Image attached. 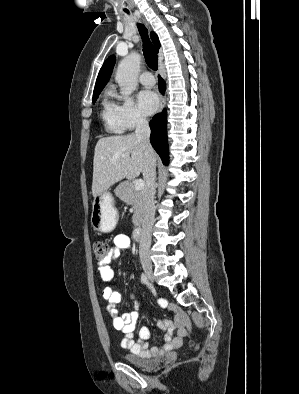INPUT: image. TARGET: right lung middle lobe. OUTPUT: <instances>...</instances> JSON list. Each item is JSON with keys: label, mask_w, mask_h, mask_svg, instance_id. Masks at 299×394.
Returning <instances> with one entry per match:
<instances>
[{"label": "right lung middle lobe", "mask_w": 299, "mask_h": 394, "mask_svg": "<svg viewBox=\"0 0 299 394\" xmlns=\"http://www.w3.org/2000/svg\"><path fill=\"white\" fill-rule=\"evenodd\" d=\"M98 96H99V93L96 94V95H93V103H95V101L97 100Z\"/></svg>", "instance_id": "1"}]
</instances>
